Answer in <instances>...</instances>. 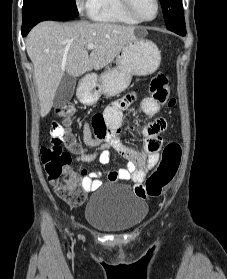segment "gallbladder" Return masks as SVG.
Listing matches in <instances>:
<instances>
[{
  "mask_svg": "<svg viewBox=\"0 0 227 279\" xmlns=\"http://www.w3.org/2000/svg\"><path fill=\"white\" fill-rule=\"evenodd\" d=\"M76 85V78L68 73L62 76L57 88L53 105L56 108L65 106L72 98Z\"/></svg>",
  "mask_w": 227,
  "mask_h": 279,
  "instance_id": "obj_1",
  "label": "gallbladder"
}]
</instances>
